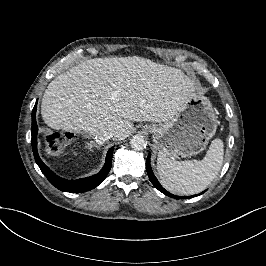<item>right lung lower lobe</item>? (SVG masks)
I'll use <instances>...</instances> for the list:
<instances>
[{
    "label": "right lung lower lobe",
    "instance_id": "1",
    "mask_svg": "<svg viewBox=\"0 0 266 266\" xmlns=\"http://www.w3.org/2000/svg\"><path fill=\"white\" fill-rule=\"evenodd\" d=\"M36 109H37V101L35 103V106L32 110V150L34 154V158L36 163L38 164L39 168L41 169L42 173L47 177V179L50 181L52 185H54L56 188L60 189L64 192H70V193H79V192H86L88 190H92L96 186H98L107 176L111 164H112V154L114 147L110 148L108 150L106 161L101 169V171L93 175L91 177L87 178H81L77 180H67L64 178H61L57 176L54 172H52L40 159L38 151H37V132H38V126L36 123Z\"/></svg>",
    "mask_w": 266,
    "mask_h": 266
}]
</instances>
